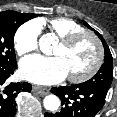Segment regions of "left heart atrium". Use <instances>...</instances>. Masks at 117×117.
Returning <instances> with one entry per match:
<instances>
[{"mask_svg": "<svg viewBox=\"0 0 117 117\" xmlns=\"http://www.w3.org/2000/svg\"><path fill=\"white\" fill-rule=\"evenodd\" d=\"M20 72L25 79L43 85L59 83L68 75L63 60L56 56L26 57L20 63Z\"/></svg>", "mask_w": 117, "mask_h": 117, "instance_id": "1", "label": "left heart atrium"}]
</instances>
